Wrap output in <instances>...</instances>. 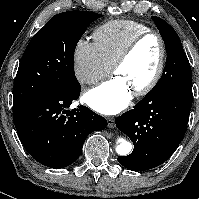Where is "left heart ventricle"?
Segmentation results:
<instances>
[{"mask_svg": "<svg viewBox=\"0 0 199 199\" xmlns=\"http://www.w3.org/2000/svg\"><path fill=\"white\" fill-rule=\"evenodd\" d=\"M160 56L159 42L155 37L144 39L130 58L116 71L131 91L144 86L153 76Z\"/></svg>", "mask_w": 199, "mask_h": 199, "instance_id": "1", "label": "left heart ventricle"}]
</instances>
